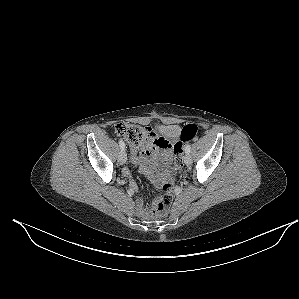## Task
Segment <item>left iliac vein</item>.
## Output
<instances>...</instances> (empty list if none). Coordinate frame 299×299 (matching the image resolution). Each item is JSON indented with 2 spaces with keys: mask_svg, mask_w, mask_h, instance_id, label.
<instances>
[{
  "mask_svg": "<svg viewBox=\"0 0 299 299\" xmlns=\"http://www.w3.org/2000/svg\"><path fill=\"white\" fill-rule=\"evenodd\" d=\"M184 162L187 166L191 165L192 163V159H191V156L189 154H185L184 156Z\"/></svg>",
  "mask_w": 299,
  "mask_h": 299,
  "instance_id": "obj_1",
  "label": "left iliac vein"
}]
</instances>
